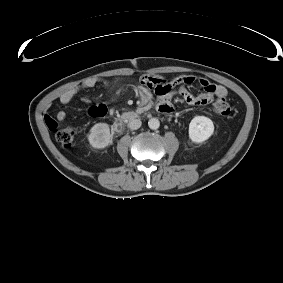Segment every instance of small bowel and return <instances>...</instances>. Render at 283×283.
I'll return each instance as SVG.
<instances>
[{
    "label": "small bowel",
    "mask_w": 283,
    "mask_h": 283,
    "mask_svg": "<svg viewBox=\"0 0 283 283\" xmlns=\"http://www.w3.org/2000/svg\"><path fill=\"white\" fill-rule=\"evenodd\" d=\"M197 82L203 92L192 94L188 91V87ZM97 85L108 87L109 81L103 77H89L84 79L79 85L74 86L59 97V102L62 105H68L82 91L94 88ZM178 86V89H173V86ZM150 90H154L157 96V106L159 111L164 112L166 109H172V99L175 95H180L184 101L191 106H203L212 102L215 98H224L227 96V90L224 86L211 83L205 78H196L191 75H182L168 80L161 76L144 75L140 79L139 92L146 97H150ZM84 102L88 99L83 97ZM107 107L104 103L88 109L91 116L98 117L106 113ZM67 118L65 110H59L55 116L45 115L44 120L48 128L53 129L58 122H62Z\"/></svg>",
    "instance_id": "obj_1"
}]
</instances>
